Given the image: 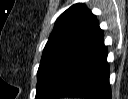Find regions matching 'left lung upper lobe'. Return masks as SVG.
I'll return each instance as SVG.
<instances>
[{
    "instance_id": "5c2ea615",
    "label": "left lung upper lobe",
    "mask_w": 128,
    "mask_h": 99,
    "mask_svg": "<svg viewBox=\"0 0 128 99\" xmlns=\"http://www.w3.org/2000/svg\"><path fill=\"white\" fill-rule=\"evenodd\" d=\"M98 20L82 3L72 5L57 19L43 50L37 72L36 98L42 99L60 66L97 30Z\"/></svg>"
}]
</instances>
